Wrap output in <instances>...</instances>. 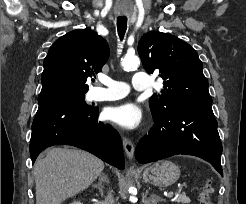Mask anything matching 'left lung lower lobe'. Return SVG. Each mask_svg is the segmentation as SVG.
<instances>
[{
	"instance_id": "left-lung-lower-lobe-1",
	"label": "left lung lower lobe",
	"mask_w": 246,
	"mask_h": 204,
	"mask_svg": "<svg viewBox=\"0 0 246 204\" xmlns=\"http://www.w3.org/2000/svg\"><path fill=\"white\" fill-rule=\"evenodd\" d=\"M135 151L140 163L154 162L173 155H193L209 163L223 176L222 144L211 105L175 106L162 117Z\"/></svg>"
}]
</instances>
